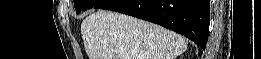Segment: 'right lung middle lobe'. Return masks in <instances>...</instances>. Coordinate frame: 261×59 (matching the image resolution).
<instances>
[{
  "mask_svg": "<svg viewBox=\"0 0 261 59\" xmlns=\"http://www.w3.org/2000/svg\"><path fill=\"white\" fill-rule=\"evenodd\" d=\"M103 1L104 0H75L74 6L78 14L81 10L92 8Z\"/></svg>",
  "mask_w": 261,
  "mask_h": 59,
  "instance_id": "right-lung-middle-lobe-1",
  "label": "right lung middle lobe"
}]
</instances>
